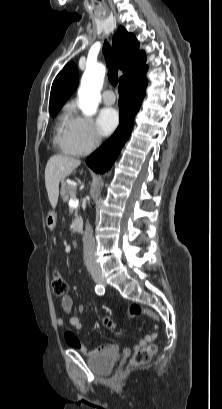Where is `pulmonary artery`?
Listing matches in <instances>:
<instances>
[{
	"instance_id": "e3ab8cb5",
	"label": "pulmonary artery",
	"mask_w": 222,
	"mask_h": 409,
	"mask_svg": "<svg viewBox=\"0 0 222 409\" xmlns=\"http://www.w3.org/2000/svg\"><path fill=\"white\" fill-rule=\"evenodd\" d=\"M102 100L105 104L111 105L115 102V95L111 90L104 91L102 95Z\"/></svg>"
}]
</instances>
